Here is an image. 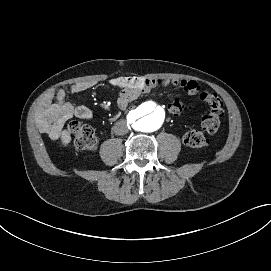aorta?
Wrapping results in <instances>:
<instances>
[{
    "label": "aorta",
    "mask_w": 271,
    "mask_h": 271,
    "mask_svg": "<svg viewBox=\"0 0 271 271\" xmlns=\"http://www.w3.org/2000/svg\"><path fill=\"white\" fill-rule=\"evenodd\" d=\"M134 116L140 118V127L144 132H153L158 130L165 119V112L154 102L148 101L142 103L136 110Z\"/></svg>",
    "instance_id": "762f6f07"
}]
</instances>
